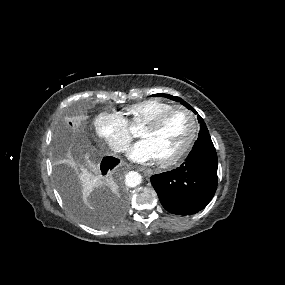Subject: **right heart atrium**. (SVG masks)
<instances>
[{
  "instance_id": "right-heart-atrium-1",
  "label": "right heart atrium",
  "mask_w": 285,
  "mask_h": 285,
  "mask_svg": "<svg viewBox=\"0 0 285 285\" xmlns=\"http://www.w3.org/2000/svg\"><path fill=\"white\" fill-rule=\"evenodd\" d=\"M94 128L98 137L115 151L125 150L132 139L125 120L114 113H100L94 120Z\"/></svg>"
}]
</instances>
